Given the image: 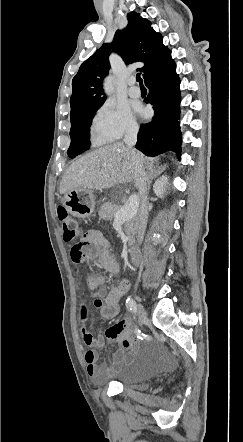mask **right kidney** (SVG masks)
<instances>
[{
	"label": "right kidney",
	"mask_w": 243,
	"mask_h": 442,
	"mask_svg": "<svg viewBox=\"0 0 243 442\" xmlns=\"http://www.w3.org/2000/svg\"><path fill=\"white\" fill-rule=\"evenodd\" d=\"M167 184H168V178H167V176L163 175L155 182V184L153 186L154 193L157 196L162 197Z\"/></svg>",
	"instance_id": "1"
}]
</instances>
